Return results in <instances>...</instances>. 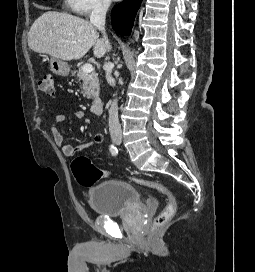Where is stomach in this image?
Here are the masks:
<instances>
[{
	"instance_id": "obj_1",
	"label": "stomach",
	"mask_w": 255,
	"mask_h": 272,
	"mask_svg": "<svg viewBox=\"0 0 255 272\" xmlns=\"http://www.w3.org/2000/svg\"><path fill=\"white\" fill-rule=\"evenodd\" d=\"M50 70L52 73L60 76H68L70 73V67L67 62L51 57L50 59Z\"/></svg>"
}]
</instances>
